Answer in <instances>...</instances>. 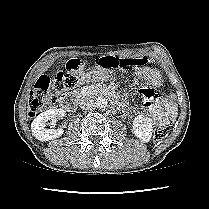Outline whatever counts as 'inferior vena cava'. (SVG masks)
Returning <instances> with one entry per match:
<instances>
[{
  "mask_svg": "<svg viewBox=\"0 0 209 209\" xmlns=\"http://www.w3.org/2000/svg\"><path fill=\"white\" fill-rule=\"evenodd\" d=\"M79 106L81 109L83 110H89L92 109L94 107V101L91 97H81L79 99Z\"/></svg>",
  "mask_w": 209,
  "mask_h": 209,
  "instance_id": "602c4592",
  "label": "inferior vena cava"
}]
</instances>
